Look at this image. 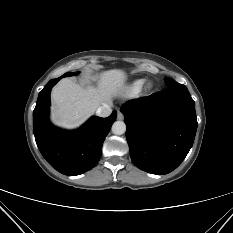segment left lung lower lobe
Segmentation results:
<instances>
[{"label":"left lung lower lobe","instance_id":"1","mask_svg":"<svg viewBox=\"0 0 233 233\" xmlns=\"http://www.w3.org/2000/svg\"><path fill=\"white\" fill-rule=\"evenodd\" d=\"M120 111L130 156L139 169L163 175L181 164L197 130L195 103L185 85L130 100Z\"/></svg>","mask_w":233,"mask_h":233}]
</instances>
